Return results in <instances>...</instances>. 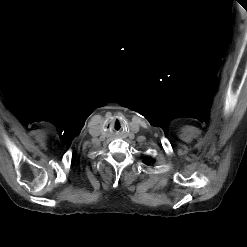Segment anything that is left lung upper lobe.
<instances>
[{"label":"left lung upper lobe","mask_w":247,"mask_h":247,"mask_svg":"<svg viewBox=\"0 0 247 247\" xmlns=\"http://www.w3.org/2000/svg\"><path fill=\"white\" fill-rule=\"evenodd\" d=\"M152 162H154V161H152L151 159H147L144 161V163L147 165H150Z\"/></svg>","instance_id":"5c2ea615"}]
</instances>
